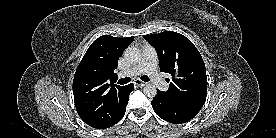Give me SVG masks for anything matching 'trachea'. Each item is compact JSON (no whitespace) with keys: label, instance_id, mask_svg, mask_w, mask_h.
<instances>
[{"label":"trachea","instance_id":"trachea-1","mask_svg":"<svg viewBox=\"0 0 276 138\" xmlns=\"http://www.w3.org/2000/svg\"><path fill=\"white\" fill-rule=\"evenodd\" d=\"M141 80L144 81V82H148L150 79L146 75H144V76L141 77ZM130 81H131L130 77L121 78V79H119L118 84L123 85V84L129 83Z\"/></svg>","mask_w":276,"mask_h":138}]
</instances>
